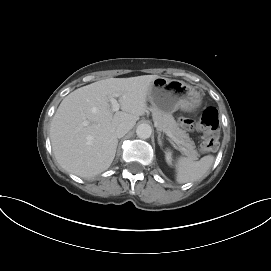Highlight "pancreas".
Here are the masks:
<instances>
[{
    "mask_svg": "<svg viewBox=\"0 0 271 271\" xmlns=\"http://www.w3.org/2000/svg\"><path fill=\"white\" fill-rule=\"evenodd\" d=\"M150 110L157 129L171 133L182 145L185 155L194 160L198 159L199 153L196 150L195 143L191 140L189 134L178 126L174 117L170 113L162 112L154 107H151Z\"/></svg>",
    "mask_w": 271,
    "mask_h": 271,
    "instance_id": "cf45deb5",
    "label": "pancreas"
}]
</instances>
